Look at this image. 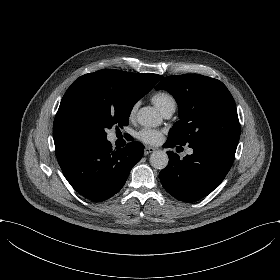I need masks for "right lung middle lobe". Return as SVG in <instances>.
<instances>
[{"label": "right lung middle lobe", "instance_id": "1", "mask_svg": "<svg viewBox=\"0 0 280 280\" xmlns=\"http://www.w3.org/2000/svg\"><path fill=\"white\" fill-rule=\"evenodd\" d=\"M132 106L110 98L92 99L82 107L77 120L90 137L91 141H106V129L113 126L123 128L129 124Z\"/></svg>", "mask_w": 280, "mask_h": 280}]
</instances>
